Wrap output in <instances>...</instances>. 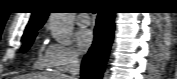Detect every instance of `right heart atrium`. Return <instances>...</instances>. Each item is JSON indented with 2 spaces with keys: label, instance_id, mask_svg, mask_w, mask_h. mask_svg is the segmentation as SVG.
<instances>
[{
  "label": "right heart atrium",
  "instance_id": "right-heart-atrium-1",
  "mask_svg": "<svg viewBox=\"0 0 177 79\" xmlns=\"http://www.w3.org/2000/svg\"><path fill=\"white\" fill-rule=\"evenodd\" d=\"M78 62L79 55L71 46L53 43L48 45L45 50V63L55 71H67Z\"/></svg>",
  "mask_w": 177,
  "mask_h": 79
}]
</instances>
